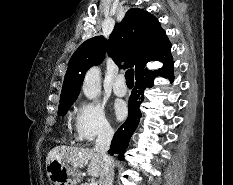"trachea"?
<instances>
[{"label":"trachea","instance_id":"1","mask_svg":"<svg viewBox=\"0 0 233 185\" xmlns=\"http://www.w3.org/2000/svg\"><path fill=\"white\" fill-rule=\"evenodd\" d=\"M125 79L127 84H134V70L128 69L125 73Z\"/></svg>","mask_w":233,"mask_h":185}]
</instances>
